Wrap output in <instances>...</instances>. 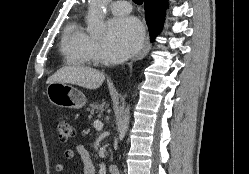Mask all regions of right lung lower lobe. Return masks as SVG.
I'll list each match as a JSON object with an SVG mask.
<instances>
[{
    "label": "right lung lower lobe",
    "mask_w": 249,
    "mask_h": 174,
    "mask_svg": "<svg viewBox=\"0 0 249 174\" xmlns=\"http://www.w3.org/2000/svg\"><path fill=\"white\" fill-rule=\"evenodd\" d=\"M166 4V0H145L144 2L146 22L152 41L162 29Z\"/></svg>",
    "instance_id": "right-lung-lower-lobe-1"
}]
</instances>
